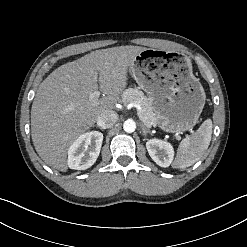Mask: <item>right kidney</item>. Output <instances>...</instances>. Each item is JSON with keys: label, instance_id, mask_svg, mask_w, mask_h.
<instances>
[{"label": "right kidney", "instance_id": "obj_1", "mask_svg": "<svg viewBox=\"0 0 247 247\" xmlns=\"http://www.w3.org/2000/svg\"><path fill=\"white\" fill-rule=\"evenodd\" d=\"M103 141L98 131L80 135L68 149V166L75 170L90 168L97 160Z\"/></svg>", "mask_w": 247, "mask_h": 247}]
</instances>
